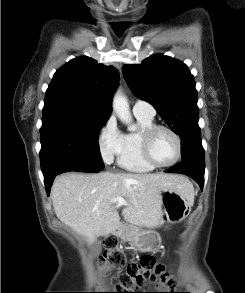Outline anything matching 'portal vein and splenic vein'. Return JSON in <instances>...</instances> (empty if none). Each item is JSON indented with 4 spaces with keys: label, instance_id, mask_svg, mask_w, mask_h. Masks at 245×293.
<instances>
[{
    "label": "portal vein and splenic vein",
    "instance_id": "portal-vein-and-splenic-vein-1",
    "mask_svg": "<svg viewBox=\"0 0 245 293\" xmlns=\"http://www.w3.org/2000/svg\"><path fill=\"white\" fill-rule=\"evenodd\" d=\"M111 202L117 203L118 205H127V202L121 197L114 198Z\"/></svg>",
    "mask_w": 245,
    "mask_h": 293
}]
</instances>
